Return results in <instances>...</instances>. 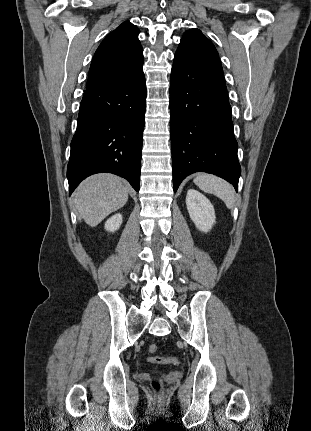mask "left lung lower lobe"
<instances>
[{
  "instance_id": "left-lung-lower-lobe-1",
  "label": "left lung lower lobe",
  "mask_w": 311,
  "mask_h": 431,
  "mask_svg": "<svg viewBox=\"0 0 311 431\" xmlns=\"http://www.w3.org/2000/svg\"><path fill=\"white\" fill-rule=\"evenodd\" d=\"M170 114L174 191L200 171L227 180L237 191L238 144L221 64L176 51Z\"/></svg>"
}]
</instances>
